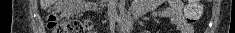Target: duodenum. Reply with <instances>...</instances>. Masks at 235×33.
Instances as JSON below:
<instances>
[{
  "label": "duodenum",
  "mask_w": 235,
  "mask_h": 33,
  "mask_svg": "<svg viewBox=\"0 0 235 33\" xmlns=\"http://www.w3.org/2000/svg\"><path fill=\"white\" fill-rule=\"evenodd\" d=\"M132 25V17L130 15L125 16L122 20L119 22V27L121 29H128Z\"/></svg>",
  "instance_id": "410a0bca"
}]
</instances>
